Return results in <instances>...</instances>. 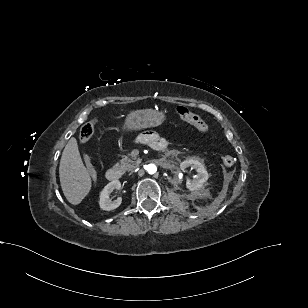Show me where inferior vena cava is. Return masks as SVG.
<instances>
[{
	"instance_id": "obj_1",
	"label": "inferior vena cava",
	"mask_w": 308,
	"mask_h": 308,
	"mask_svg": "<svg viewBox=\"0 0 308 308\" xmlns=\"http://www.w3.org/2000/svg\"><path fill=\"white\" fill-rule=\"evenodd\" d=\"M129 175H134V168H129Z\"/></svg>"
}]
</instances>
